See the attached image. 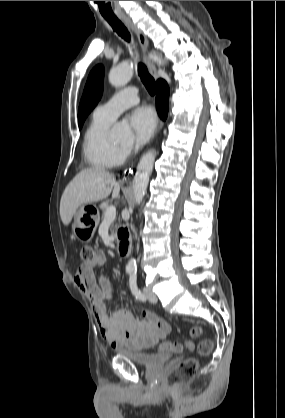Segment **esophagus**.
I'll return each instance as SVG.
<instances>
[{
	"label": "esophagus",
	"mask_w": 285,
	"mask_h": 418,
	"mask_svg": "<svg viewBox=\"0 0 285 418\" xmlns=\"http://www.w3.org/2000/svg\"><path fill=\"white\" fill-rule=\"evenodd\" d=\"M120 18L135 32V34L138 38L139 44L142 48L145 63L147 65L148 69H149V72L152 75V77L155 80H157L159 78L157 69H156L154 63L147 57L148 41H147V38H146L145 34L143 33V31L140 28H138L132 22V20L128 16L122 14V15H120ZM162 126H163V122H160L158 124L157 131L161 130Z\"/></svg>",
	"instance_id": "esophagus-1"
}]
</instances>
